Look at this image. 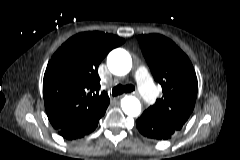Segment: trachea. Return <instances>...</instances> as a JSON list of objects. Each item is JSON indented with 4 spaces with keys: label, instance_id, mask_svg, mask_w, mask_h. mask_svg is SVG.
<instances>
[{
    "label": "trachea",
    "instance_id": "obj_1",
    "mask_svg": "<svg viewBox=\"0 0 240 160\" xmlns=\"http://www.w3.org/2000/svg\"><path fill=\"white\" fill-rule=\"evenodd\" d=\"M135 90V87L133 85H117L112 90V95L117 96L121 95L123 93L133 92Z\"/></svg>",
    "mask_w": 240,
    "mask_h": 160
}]
</instances>
